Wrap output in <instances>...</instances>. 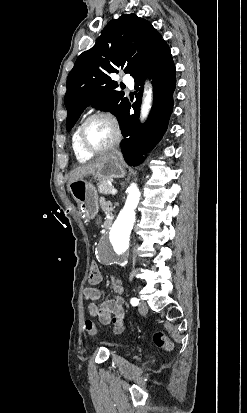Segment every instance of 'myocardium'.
<instances>
[{"label": "myocardium", "instance_id": "1", "mask_svg": "<svg viewBox=\"0 0 247 413\" xmlns=\"http://www.w3.org/2000/svg\"><path fill=\"white\" fill-rule=\"evenodd\" d=\"M96 119H105L111 122V124L114 127L115 133H114V137L112 138V140L105 146L100 147V148H91L85 144L84 139H83V132L85 128L88 126V124ZM121 137H122V130L118 122L111 116V114L105 111H97L93 113L82 123V125L79 127L78 132H77V140H78V145L80 149L84 153L89 154V155H100V154H103L111 150L112 148L118 145V143L121 140Z\"/></svg>", "mask_w": 247, "mask_h": 413}]
</instances>
